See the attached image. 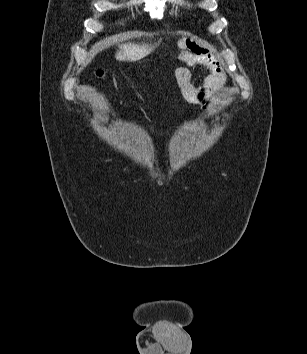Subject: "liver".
<instances>
[{"label": "liver", "mask_w": 307, "mask_h": 354, "mask_svg": "<svg viewBox=\"0 0 307 354\" xmlns=\"http://www.w3.org/2000/svg\"><path fill=\"white\" fill-rule=\"evenodd\" d=\"M160 42V41H159ZM158 43L152 44H134V43H126L123 45H119V50L117 51L115 58L118 61H137L148 54L153 52L155 48L158 46Z\"/></svg>", "instance_id": "1"}]
</instances>
